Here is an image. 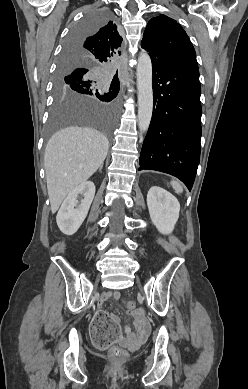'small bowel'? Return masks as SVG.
Here are the masks:
<instances>
[{
    "mask_svg": "<svg viewBox=\"0 0 248 389\" xmlns=\"http://www.w3.org/2000/svg\"><path fill=\"white\" fill-rule=\"evenodd\" d=\"M103 299L119 300L121 299V293L119 291H108L103 294ZM131 316L133 318V326L136 329V331H133L129 326H126L124 329L126 336L123 337L122 340H119V342L129 348H136L140 346L147 338L149 334V325L144 319L141 311L139 310L133 311L131 313ZM111 317L115 321L118 319V316L114 314H112Z\"/></svg>",
    "mask_w": 248,
    "mask_h": 389,
    "instance_id": "small-bowel-1",
    "label": "small bowel"
}]
</instances>
